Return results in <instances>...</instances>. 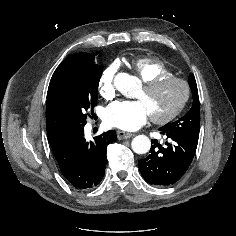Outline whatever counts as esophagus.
<instances>
[{"label": "esophagus", "mask_w": 236, "mask_h": 236, "mask_svg": "<svg viewBox=\"0 0 236 236\" xmlns=\"http://www.w3.org/2000/svg\"><path fill=\"white\" fill-rule=\"evenodd\" d=\"M132 136H133L132 133L121 131V130L117 131V137H118L119 140L128 139Z\"/></svg>", "instance_id": "esophagus-1"}]
</instances>
